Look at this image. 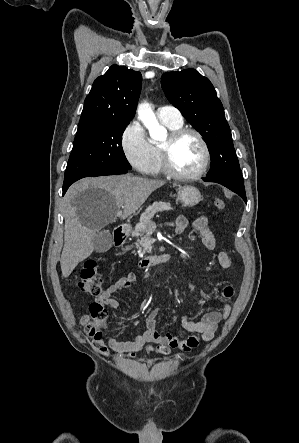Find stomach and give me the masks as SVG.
I'll return each instance as SVG.
<instances>
[{"label": "stomach", "instance_id": "1", "mask_svg": "<svg viewBox=\"0 0 299 443\" xmlns=\"http://www.w3.org/2000/svg\"><path fill=\"white\" fill-rule=\"evenodd\" d=\"M177 198L183 206L192 207L201 201V193L196 187L185 185L179 187Z\"/></svg>", "mask_w": 299, "mask_h": 443}]
</instances>
